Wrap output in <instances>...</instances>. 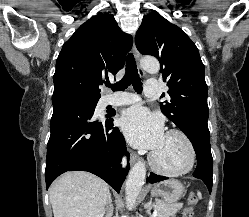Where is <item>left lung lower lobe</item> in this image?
I'll return each instance as SVG.
<instances>
[{
	"label": "left lung lower lobe",
	"instance_id": "left-lung-lower-lobe-1",
	"mask_svg": "<svg viewBox=\"0 0 249 217\" xmlns=\"http://www.w3.org/2000/svg\"><path fill=\"white\" fill-rule=\"evenodd\" d=\"M197 156V167L193 176L201 179L207 186L209 192L212 190L213 159L210 149V133L207 123L197 122L191 126L189 135ZM166 177L151 173L146 182L156 183L165 180Z\"/></svg>",
	"mask_w": 249,
	"mask_h": 217
}]
</instances>
